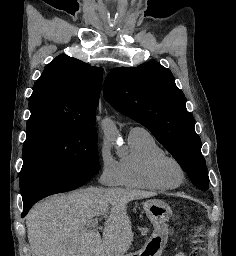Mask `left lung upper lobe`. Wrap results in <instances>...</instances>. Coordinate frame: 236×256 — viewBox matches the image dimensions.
<instances>
[{
    "label": "left lung upper lobe",
    "mask_w": 236,
    "mask_h": 256,
    "mask_svg": "<svg viewBox=\"0 0 236 256\" xmlns=\"http://www.w3.org/2000/svg\"><path fill=\"white\" fill-rule=\"evenodd\" d=\"M105 98L121 113L148 128L200 190L209 188L202 143L183 92L169 69L155 61L119 67L106 77Z\"/></svg>",
    "instance_id": "1"
}]
</instances>
